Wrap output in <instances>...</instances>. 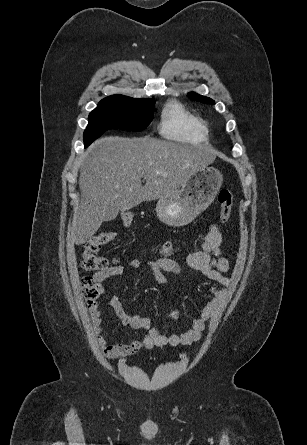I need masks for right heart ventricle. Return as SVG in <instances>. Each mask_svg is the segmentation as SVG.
I'll return each instance as SVG.
<instances>
[{"instance_id":"obj_1","label":"right heart ventricle","mask_w":307,"mask_h":445,"mask_svg":"<svg viewBox=\"0 0 307 445\" xmlns=\"http://www.w3.org/2000/svg\"><path fill=\"white\" fill-rule=\"evenodd\" d=\"M160 134L168 139L205 141L208 128L183 105L169 102L162 112Z\"/></svg>"}]
</instances>
